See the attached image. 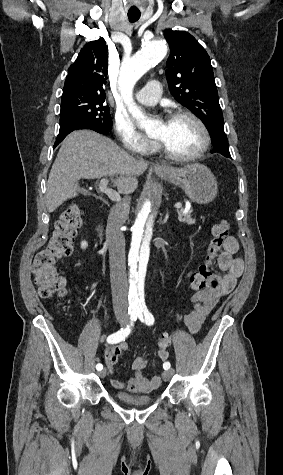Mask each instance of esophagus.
I'll return each instance as SVG.
<instances>
[{"instance_id": "34e87169", "label": "esophagus", "mask_w": 283, "mask_h": 475, "mask_svg": "<svg viewBox=\"0 0 283 475\" xmlns=\"http://www.w3.org/2000/svg\"><path fill=\"white\" fill-rule=\"evenodd\" d=\"M154 170L162 171V172H169V169L166 166L159 165V164L155 165Z\"/></svg>"}]
</instances>
